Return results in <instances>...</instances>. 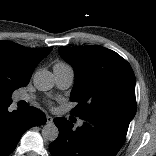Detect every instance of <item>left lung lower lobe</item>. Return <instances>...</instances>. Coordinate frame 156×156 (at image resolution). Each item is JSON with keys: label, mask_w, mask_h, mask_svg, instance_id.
I'll use <instances>...</instances> for the list:
<instances>
[{"label": "left lung lower lobe", "mask_w": 156, "mask_h": 156, "mask_svg": "<svg viewBox=\"0 0 156 156\" xmlns=\"http://www.w3.org/2000/svg\"><path fill=\"white\" fill-rule=\"evenodd\" d=\"M83 120V125L74 130L66 118L54 119L59 136L49 145L52 156H115L129 124L112 117Z\"/></svg>", "instance_id": "left-lung-lower-lobe-1"}]
</instances>
